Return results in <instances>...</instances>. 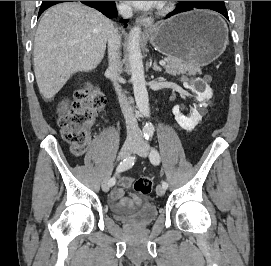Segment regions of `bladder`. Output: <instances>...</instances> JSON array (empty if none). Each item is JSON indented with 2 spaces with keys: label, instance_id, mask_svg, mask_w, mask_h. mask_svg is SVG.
<instances>
[{
  "label": "bladder",
  "instance_id": "bladder-1",
  "mask_svg": "<svg viewBox=\"0 0 271 266\" xmlns=\"http://www.w3.org/2000/svg\"><path fill=\"white\" fill-rule=\"evenodd\" d=\"M157 208L153 204H144L141 207L135 209L134 212L125 215H115V218L119 221L134 225V226H146L151 223L157 216Z\"/></svg>",
  "mask_w": 271,
  "mask_h": 266
}]
</instances>
